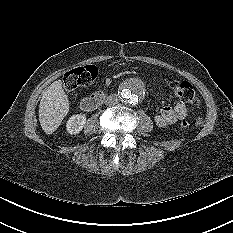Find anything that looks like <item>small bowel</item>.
<instances>
[{
  "label": "small bowel",
  "instance_id": "small-bowel-1",
  "mask_svg": "<svg viewBox=\"0 0 233 233\" xmlns=\"http://www.w3.org/2000/svg\"><path fill=\"white\" fill-rule=\"evenodd\" d=\"M188 109L184 102L179 101L173 106H165L154 115V122L160 128L175 124L178 120L186 118Z\"/></svg>",
  "mask_w": 233,
  "mask_h": 233
}]
</instances>
